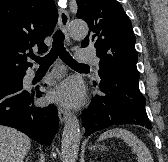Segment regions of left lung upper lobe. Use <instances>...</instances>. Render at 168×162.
<instances>
[{
  "label": "left lung upper lobe",
  "mask_w": 168,
  "mask_h": 162,
  "mask_svg": "<svg viewBox=\"0 0 168 162\" xmlns=\"http://www.w3.org/2000/svg\"><path fill=\"white\" fill-rule=\"evenodd\" d=\"M77 17L87 22L90 32L82 47L96 48L99 76L115 73L138 81L136 37L129 17L116 0H77Z\"/></svg>",
  "instance_id": "left-lung-upper-lobe-1"
}]
</instances>
